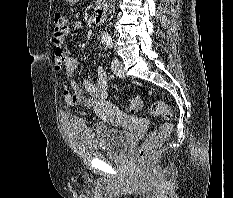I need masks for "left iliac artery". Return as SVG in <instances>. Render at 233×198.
Returning a JSON list of instances; mask_svg holds the SVG:
<instances>
[{
  "instance_id": "44dca946",
  "label": "left iliac artery",
  "mask_w": 233,
  "mask_h": 198,
  "mask_svg": "<svg viewBox=\"0 0 233 198\" xmlns=\"http://www.w3.org/2000/svg\"><path fill=\"white\" fill-rule=\"evenodd\" d=\"M106 44H107V46H108L109 48H112V46H113V43H112L111 40H108V41L106 42Z\"/></svg>"
}]
</instances>
